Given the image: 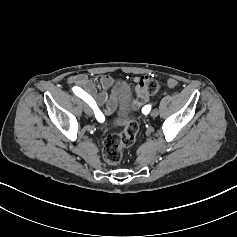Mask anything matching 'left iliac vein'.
<instances>
[{"instance_id": "obj_1", "label": "left iliac vein", "mask_w": 237, "mask_h": 237, "mask_svg": "<svg viewBox=\"0 0 237 237\" xmlns=\"http://www.w3.org/2000/svg\"><path fill=\"white\" fill-rule=\"evenodd\" d=\"M158 113H159L158 109L155 108V109L152 110L151 116L156 117L158 115Z\"/></svg>"}]
</instances>
